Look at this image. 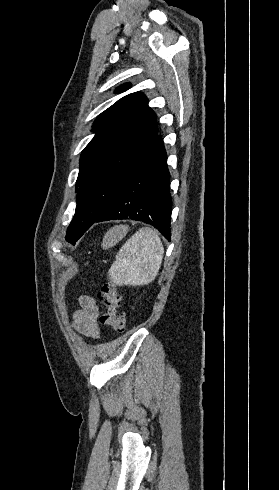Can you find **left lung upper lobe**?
<instances>
[{"mask_svg":"<svg viewBox=\"0 0 279 490\" xmlns=\"http://www.w3.org/2000/svg\"><path fill=\"white\" fill-rule=\"evenodd\" d=\"M130 84L119 87L120 93ZM142 93H131L100 114L84 148L76 181V210L66 241L75 242L111 206L121 185L158 135L156 114Z\"/></svg>","mask_w":279,"mask_h":490,"instance_id":"1","label":"left lung upper lobe"}]
</instances>
